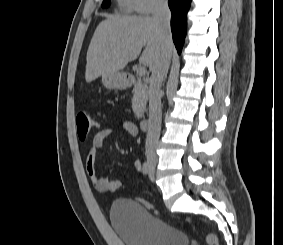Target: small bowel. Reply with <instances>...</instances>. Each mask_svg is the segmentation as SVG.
Here are the masks:
<instances>
[{"instance_id": "c3829d8e", "label": "small bowel", "mask_w": 283, "mask_h": 245, "mask_svg": "<svg viewBox=\"0 0 283 245\" xmlns=\"http://www.w3.org/2000/svg\"><path fill=\"white\" fill-rule=\"evenodd\" d=\"M121 126L131 136L133 137L137 136L138 128L133 122L129 120H123L121 122ZM114 132L115 130L113 128H104L100 130L93 137L90 148L86 154L85 165H86V172L89 181L92 184V186L101 193L109 192L110 179L108 174L104 176L98 175L95 167L96 154H97V150L103 146L105 139L111 136ZM134 167L136 171L139 172L143 171V165L139 160H136L134 162ZM108 173H110V169L108 170Z\"/></svg>"}]
</instances>
